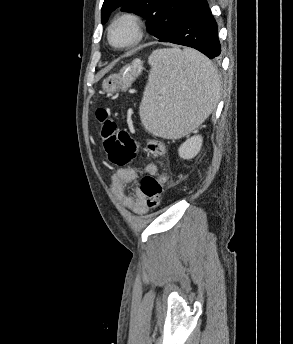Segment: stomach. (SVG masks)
<instances>
[{
	"label": "stomach",
	"instance_id": "0dacf381",
	"mask_svg": "<svg viewBox=\"0 0 293 344\" xmlns=\"http://www.w3.org/2000/svg\"><path fill=\"white\" fill-rule=\"evenodd\" d=\"M141 62L136 60L125 66L120 73L112 74L102 82V88L109 95L116 91H126L141 73Z\"/></svg>",
	"mask_w": 293,
	"mask_h": 344
}]
</instances>
